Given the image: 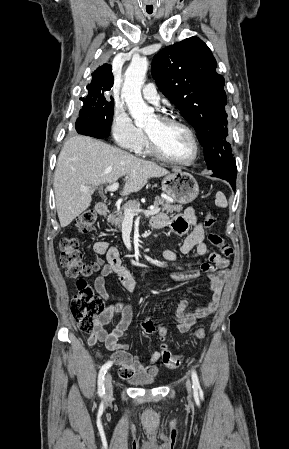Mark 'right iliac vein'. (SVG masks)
I'll use <instances>...</instances> for the list:
<instances>
[{
	"instance_id": "obj_1",
	"label": "right iliac vein",
	"mask_w": 289,
	"mask_h": 449,
	"mask_svg": "<svg viewBox=\"0 0 289 449\" xmlns=\"http://www.w3.org/2000/svg\"><path fill=\"white\" fill-rule=\"evenodd\" d=\"M113 395V385H112V377L108 373L105 378V393H104V400L108 402L111 400Z\"/></svg>"
}]
</instances>
